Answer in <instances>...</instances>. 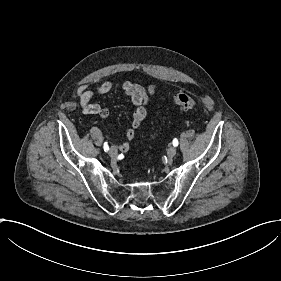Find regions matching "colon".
Returning <instances> with one entry per match:
<instances>
[{
	"label": "colon",
	"instance_id": "1",
	"mask_svg": "<svg viewBox=\"0 0 281 281\" xmlns=\"http://www.w3.org/2000/svg\"><path fill=\"white\" fill-rule=\"evenodd\" d=\"M175 105L182 110H196L198 107L197 101L187 93H178L174 96Z\"/></svg>",
	"mask_w": 281,
	"mask_h": 281
}]
</instances>
